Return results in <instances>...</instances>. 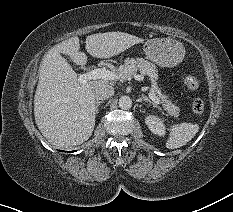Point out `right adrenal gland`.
<instances>
[{"label":"right adrenal gland","mask_w":233,"mask_h":212,"mask_svg":"<svg viewBox=\"0 0 233 212\" xmlns=\"http://www.w3.org/2000/svg\"><path fill=\"white\" fill-rule=\"evenodd\" d=\"M103 102H104V100H101V101L97 100V101H96V113H97L98 110H99V106H100Z\"/></svg>","instance_id":"2a0ac1e0"}]
</instances>
